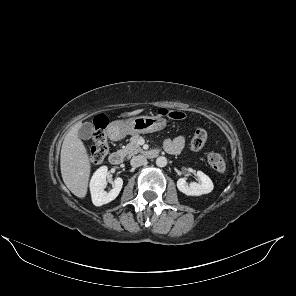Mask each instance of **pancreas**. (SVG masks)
<instances>
[{
	"instance_id": "obj_1",
	"label": "pancreas",
	"mask_w": 296,
	"mask_h": 296,
	"mask_svg": "<svg viewBox=\"0 0 296 296\" xmlns=\"http://www.w3.org/2000/svg\"><path fill=\"white\" fill-rule=\"evenodd\" d=\"M141 138L138 134L133 135L129 143L126 146L122 147L121 152L123 153L124 156L131 157L137 153H142L143 149L140 147L138 144V140Z\"/></svg>"
}]
</instances>
